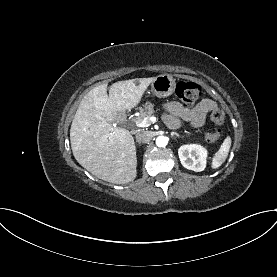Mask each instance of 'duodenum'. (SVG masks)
Here are the masks:
<instances>
[{
    "label": "duodenum",
    "mask_w": 277,
    "mask_h": 277,
    "mask_svg": "<svg viewBox=\"0 0 277 277\" xmlns=\"http://www.w3.org/2000/svg\"><path fill=\"white\" fill-rule=\"evenodd\" d=\"M123 117H124L123 114H120V115H119V118H120V119H123Z\"/></svg>",
    "instance_id": "duodenum-1"
}]
</instances>
